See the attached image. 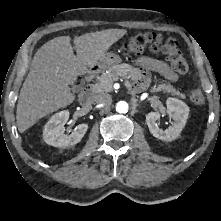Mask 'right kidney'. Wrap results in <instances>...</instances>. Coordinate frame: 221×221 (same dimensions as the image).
I'll use <instances>...</instances> for the list:
<instances>
[{"label":"right kidney","mask_w":221,"mask_h":221,"mask_svg":"<svg viewBox=\"0 0 221 221\" xmlns=\"http://www.w3.org/2000/svg\"><path fill=\"white\" fill-rule=\"evenodd\" d=\"M69 119V111L54 114L44 126L43 139L48 145L67 147L77 144L85 135L88 125L79 124L70 135L64 134V125Z\"/></svg>","instance_id":"ca27d5eb"}]
</instances>
